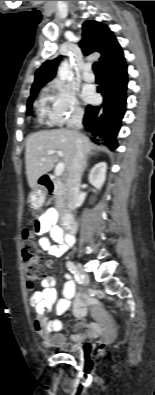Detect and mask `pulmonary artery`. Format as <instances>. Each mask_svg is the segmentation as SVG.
I'll list each match as a JSON object with an SVG mask.
<instances>
[{
  "instance_id": "pulmonary-artery-1",
  "label": "pulmonary artery",
  "mask_w": 155,
  "mask_h": 395,
  "mask_svg": "<svg viewBox=\"0 0 155 395\" xmlns=\"http://www.w3.org/2000/svg\"><path fill=\"white\" fill-rule=\"evenodd\" d=\"M83 79L87 82H93L95 80L94 74L90 71V67L86 66L82 75Z\"/></svg>"
}]
</instances>
